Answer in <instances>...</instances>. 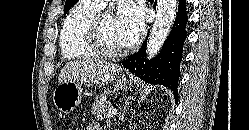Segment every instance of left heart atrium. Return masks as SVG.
I'll return each instance as SVG.
<instances>
[{
  "label": "left heart atrium",
  "instance_id": "39dd6f15",
  "mask_svg": "<svg viewBox=\"0 0 249 130\" xmlns=\"http://www.w3.org/2000/svg\"><path fill=\"white\" fill-rule=\"evenodd\" d=\"M115 22L123 44L130 46L139 39L144 30V12L134 2L127 0L119 5Z\"/></svg>",
  "mask_w": 249,
  "mask_h": 130
}]
</instances>
